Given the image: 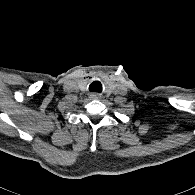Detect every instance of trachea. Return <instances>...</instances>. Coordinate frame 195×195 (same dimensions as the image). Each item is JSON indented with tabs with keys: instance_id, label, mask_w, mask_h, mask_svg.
Returning a JSON list of instances; mask_svg holds the SVG:
<instances>
[{
	"instance_id": "trachea-1",
	"label": "trachea",
	"mask_w": 195,
	"mask_h": 195,
	"mask_svg": "<svg viewBox=\"0 0 195 195\" xmlns=\"http://www.w3.org/2000/svg\"><path fill=\"white\" fill-rule=\"evenodd\" d=\"M89 90L90 91H97V92H100V83L99 82H93L90 84L89 86Z\"/></svg>"
}]
</instances>
